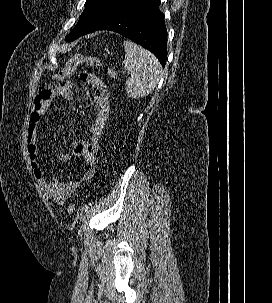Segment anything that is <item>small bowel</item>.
<instances>
[{
  "instance_id": "c3829d8e",
  "label": "small bowel",
  "mask_w": 272,
  "mask_h": 303,
  "mask_svg": "<svg viewBox=\"0 0 272 303\" xmlns=\"http://www.w3.org/2000/svg\"><path fill=\"white\" fill-rule=\"evenodd\" d=\"M80 80L90 84L93 88V105L95 113L91 119L89 130L85 138L70 142L73 154L60 151L57 158L61 161H70L74 156L79 157L85 163V170L80 178L62 181L46 179L45 171L41 166L39 157V125L42 116L51 106L55 97L71 100L74 97V83L62 81L56 85H46L40 88L34 99V104L29 117L27 129V152L34 177L41 186L47 198L57 205H63L71 194L91 180L98 168L97 152L99 140L103 133L110 112L109 92L106 83L96 74L82 72Z\"/></svg>"
}]
</instances>
